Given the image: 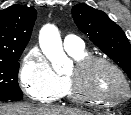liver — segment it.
<instances>
[{
	"mask_svg": "<svg viewBox=\"0 0 131 115\" xmlns=\"http://www.w3.org/2000/svg\"><path fill=\"white\" fill-rule=\"evenodd\" d=\"M0 115H91L90 113L63 107L34 106L20 103L0 105Z\"/></svg>",
	"mask_w": 131,
	"mask_h": 115,
	"instance_id": "obj_1",
	"label": "liver"
}]
</instances>
